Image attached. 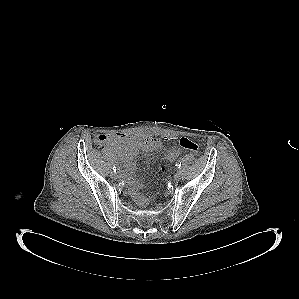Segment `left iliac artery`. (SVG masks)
Segmentation results:
<instances>
[{"instance_id":"44dca946","label":"left iliac artery","mask_w":299,"mask_h":299,"mask_svg":"<svg viewBox=\"0 0 299 299\" xmlns=\"http://www.w3.org/2000/svg\"><path fill=\"white\" fill-rule=\"evenodd\" d=\"M175 166H176L177 168H180V167H181V162L178 160V161L176 162Z\"/></svg>"}]
</instances>
